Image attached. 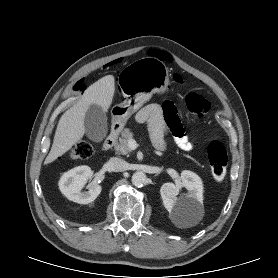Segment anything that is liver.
<instances>
[{
	"label": "liver",
	"instance_id": "obj_1",
	"mask_svg": "<svg viewBox=\"0 0 278 278\" xmlns=\"http://www.w3.org/2000/svg\"><path fill=\"white\" fill-rule=\"evenodd\" d=\"M115 93V79L107 75L90 85L79 101L68 109L60 118L51 150L45 164L55 161L69 151L84 135V118L91 104H96L108 111Z\"/></svg>",
	"mask_w": 278,
	"mask_h": 278
}]
</instances>
